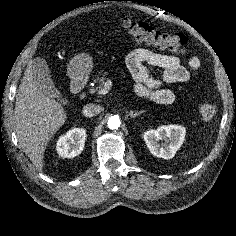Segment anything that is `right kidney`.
Segmentation results:
<instances>
[{
    "instance_id": "obj_1",
    "label": "right kidney",
    "mask_w": 236,
    "mask_h": 236,
    "mask_svg": "<svg viewBox=\"0 0 236 236\" xmlns=\"http://www.w3.org/2000/svg\"><path fill=\"white\" fill-rule=\"evenodd\" d=\"M85 139V129H71L58 139L56 144L57 153L63 158H74L83 151Z\"/></svg>"
}]
</instances>
